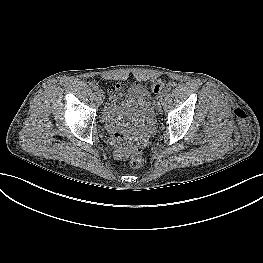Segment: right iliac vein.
Returning a JSON list of instances; mask_svg holds the SVG:
<instances>
[{"mask_svg":"<svg viewBox=\"0 0 263 263\" xmlns=\"http://www.w3.org/2000/svg\"><path fill=\"white\" fill-rule=\"evenodd\" d=\"M98 96H99V98H100V100L102 99V97H103V92L100 90V92L98 93Z\"/></svg>","mask_w":263,"mask_h":263,"instance_id":"obj_1","label":"right iliac vein"}]
</instances>
